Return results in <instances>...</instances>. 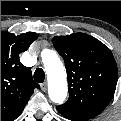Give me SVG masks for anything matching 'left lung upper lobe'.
I'll use <instances>...</instances> for the list:
<instances>
[{
  "instance_id": "left-lung-upper-lobe-1",
  "label": "left lung upper lobe",
  "mask_w": 121,
  "mask_h": 121,
  "mask_svg": "<svg viewBox=\"0 0 121 121\" xmlns=\"http://www.w3.org/2000/svg\"><path fill=\"white\" fill-rule=\"evenodd\" d=\"M63 57L69 98L57 110L73 121H87L101 113L113 98L117 65L111 51L96 38L73 33L52 39Z\"/></svg>"
}]
</instances>
